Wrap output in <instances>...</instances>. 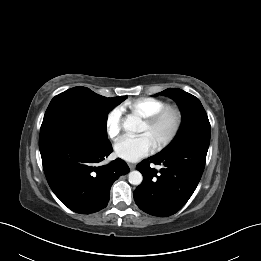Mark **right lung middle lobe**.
<instances>
[{
  "label": "right lung middle lobe",
  "mask_w": 261,
  "mask_h": 261,
  "mask_svg": "<svg viewBox=\"0 0 261 261\" xmlns=\"http://www.w3.org/2000/svg\"><path fill=\"white\" fill-rule=\"evenodd\" d=\"M126 98L127 96L106 98L89 88L76 87L70 93L71 103L59 100L49 104L41 131L64 126L77 117L83 121L86 132L108 142L106 129L108 113Z\"/></svg>",
  "instance_id": "right-lung-middle-lobe-1"
}]
</instances>
